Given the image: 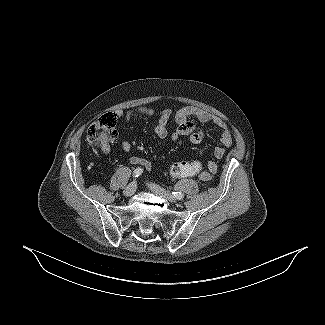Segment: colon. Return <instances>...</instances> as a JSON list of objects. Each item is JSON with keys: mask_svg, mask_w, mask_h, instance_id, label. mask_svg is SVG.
<instances>
[{"mask_svg": "<svg viewBox=\"0 0 325 325\" xmlns=\"http://www.w3.org/2000/svg\"><path fill=\"white\" fill-rule=\"evenodd\" d=\"M116 115L114 113L103 114L88 129L87 141L91 146H99L102 149L116 137ZM202 166L197 161H179L170 166V175L174 178L193 176L201 170Z\"/></svg>", "mask_w": 325, "mask_h": 325, "instance_id": "obj_1", "label": "colon"}]
</instances>
